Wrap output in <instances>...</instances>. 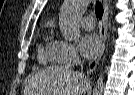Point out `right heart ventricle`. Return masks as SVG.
<instances>
[{
  "instance_id": "right-heart-ventricle-1",
  "label": "right heart ventricle",
  "mask_w": 135,
  "mask_h": 95,
  "mask_svg": "<svg viewBox=\"0 0 135 95\" xmlns=\"http://www.w3.org/2000/svg\"><path fill=\"white\" fill-rule=\"evenodd\" d=\"M53 25L47 24V33L45 36V43L41 44L38 48V58L43 64L57 63L56 56V43L57 41L52 38Z\"/></svg>"
}]
</instances>
